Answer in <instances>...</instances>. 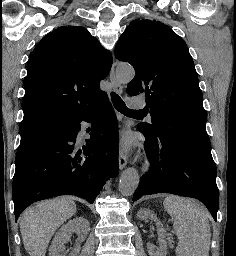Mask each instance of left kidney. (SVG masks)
Masks as SVG:
<instances>
[{
  "instance_id": "left-kidney-1",
  "label": "left kidney",
  "mask_w": 236,
  "mask_h": 256,
  "mask_svg": "<svg viewBox=\"0 0 236 256\" xmlns=\"http://www.w3.org/2000/svg\"><path fill=\"white\" fill-rule=\"evenodd\" d=\"M138 220H146V218H151L154 222H157V234H158V244L159 248H154L152 244H147V250L149 252V256H166L167 254V242L165 240L166 234L163 226H161L160 222H158V218L154 212L151 210H146V208H142L139 210L137 214Z\"/></svg>"
}]
</instances>
